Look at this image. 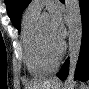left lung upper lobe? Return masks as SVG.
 <instances>
[{
    "label": "left lung upper lobe",
    "instance_id": "5c2ea615",
    "mask_svg": "<svg viewBox=\"0 0 89 89\" xmlns=\"http://www.w3.org/2000/svg\"><path fill=\"white\" fill-rule=\"evenodd\" d=\"M31 0H5L7 13L12 24L20 31L21 15Z\"/></svg>",
    "mask_w": 89,
    "mask_h": 89
}]
</instances>
